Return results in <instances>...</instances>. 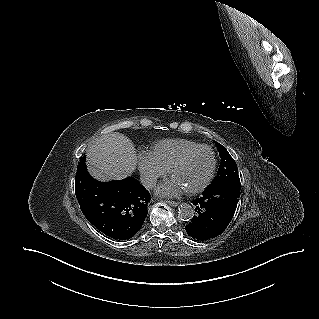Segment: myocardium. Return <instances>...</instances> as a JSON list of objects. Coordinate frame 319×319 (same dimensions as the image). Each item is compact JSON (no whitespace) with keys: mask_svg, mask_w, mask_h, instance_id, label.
Segmentation results:
<instances>
[{"mask_svg":"<svg viewBox=\"0 0 319 319\" xmlns=\"http://www.w3.org/2000/svg\"><path fill=\"white\" fill-rule=\"evenodd\" d=\"M208 150L211 153V157H212V164H211V168L210 171L206 177V179L197 187L190 189V190H186L187 194L190 195H194L197 193H200L202 191H204L212 182L214 175H215V171H216V166H217V158H216V154L215 151L213 150L212 147L208 146V145H203V144H199L193 148H190L186 151H184L170 166L169 168V175L172 177L173 173L182 165L185 163V161L194 153H196L199 150Z\"/></svg>","mask_w":319,"mask_h":319,"instance_id":"f54148a6","label":"myocardium"}]
</instances>
